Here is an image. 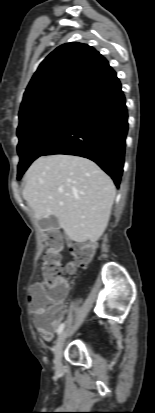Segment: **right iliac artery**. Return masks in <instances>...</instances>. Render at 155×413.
<instances>
[{"label":"right iliac artery","mask_w":155,"mask_h":413,"mask_svg":"<svg viewBox=\"0 0 155 413\" xmlns=\"http://www.w3.org/2000/svg\"><path fill=\"white\" fill-rule=\"evenodd\" d=\"M64 326H65L64 323L60 324V326H59L58 329H57V334H60V333L63 331Z\"/></svg>","instance_id":"right-iliac-artery-1"}]
</instances>
